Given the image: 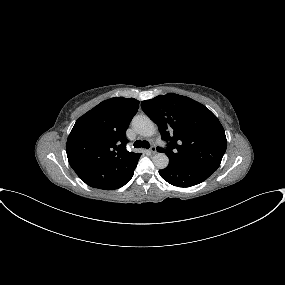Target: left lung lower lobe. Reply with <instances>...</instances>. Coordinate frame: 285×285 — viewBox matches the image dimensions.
Returning a JSON list of instances; mask_svg holds the SVG:
<instances>
[{
    "label": "left lung lower lobe",
    "mask_w": 285,
    "mask_h": 285,
    "mask_svg": "<svg viewBox=\"0 0 285 285\" xmlns=\"http://www.w3.org/2000/svg\"><path fill=\"white\" fill-rule=\"evenodd\" d=\"M160 176L168 183L178 187H190L205 181L213 172L200 168L169 164L159 170Z\"/></svg>",
    "instance_id": "0a47b994"
}]
</instances>
